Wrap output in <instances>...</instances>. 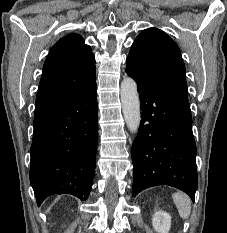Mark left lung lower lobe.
<instances>
[{"mask_svg":"<svg viewBox=\"0 0 227 233\" xmlns=\"http://www.w3.org/2000/svg\"><path fill=\"white\" fill-rule=\"evenodd\" d=\"M136 82L142 120L132 146V194L136 196L156 185H169L183 190L194 201L198 176L190 104Z\"/></svg>","mask_w":227,"mask_h":233,"instance_id":"1","label":"left lung lower lobe"}]
</instances>
